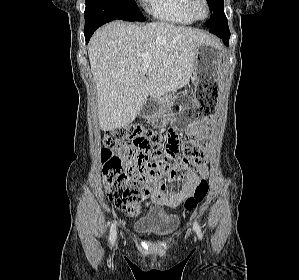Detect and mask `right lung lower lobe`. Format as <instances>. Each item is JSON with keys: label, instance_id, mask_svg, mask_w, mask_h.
Here are the masks:
<instances>
[{"label": "right lung lower lobe", "instance_id": "obj_1", "mask_svg": "<svg viewBox=\"0 0 299 280\" xmlns=\"http://www.w3.org/2000/svg\"><path fill=\"white\" fill-rule=\"evenodd\" d=\"M84 35L86 43L94 31L112 20L134 21L125 11L108 0H86Z\"/></svg>", "mask_w": 299, "mask_h": 280}]
</instances>
